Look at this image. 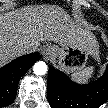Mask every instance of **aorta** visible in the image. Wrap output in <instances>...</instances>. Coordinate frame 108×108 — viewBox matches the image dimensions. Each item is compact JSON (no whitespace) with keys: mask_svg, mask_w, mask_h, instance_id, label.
I'll list each match as a JSON object with an SVG mask.
<instances>
[{"mask_svg":"<svg viewBox=\"0 0 108 108\" xmlns=\"http://www.w3.org/2000/svg\"><path fill=\"white\" fill-rule=\"evenodd\" d=\"M46 71H47V66L44 62H37L33 66V72L38 76L45 75Z\"/></svg>","mask_w":108,"mask_h":108,"instance_id":"aorta-1","label":"aorta"}]
</instances>
